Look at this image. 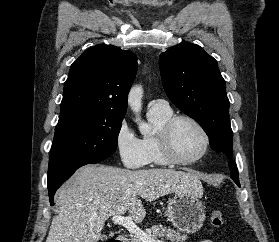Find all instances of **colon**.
Listing matches in <instances>:
<instances>
[{"instance_id": "obj_1", "label": "colon", "mask_w": 279, "mask_h": 242, "mask_svg": "<svg viewBox=\"0 0 279 242\" xmlns=\"http://www.w3.org/2000/svg\"><path fill=\"white\" fill-rule=\"evenodd\" d=\"M211 224L216 228H221L224 224V218L221 210L215 209L211 213Z\"/></svg>"}]
</instances>
